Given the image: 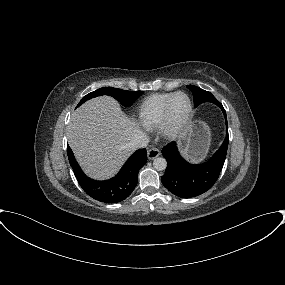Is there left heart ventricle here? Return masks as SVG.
Segmentation results:
<instances>
[{"instance_id": "b2bd125f", "label": "left heart ventricle", "mask_w": 285, "mask_h": 285, "mask_svg": "<svg viewBox=\"0 0 285 285\" xmlns=\"http://www.w3.org/2000/svg\"><path fill=\"white\" fill-rule=\"evenodd\" d=\"M189 102L186 96L179 95L172 105V120L175 123H180L184 120L188 113Z\"/></svg>"}]
</instances>
